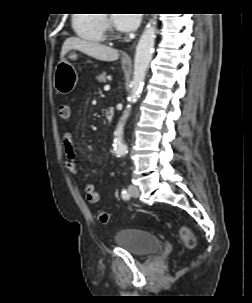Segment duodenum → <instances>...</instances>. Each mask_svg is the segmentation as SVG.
<instances>
[{"label": "duodenum", "mask_w": 252, "mask_h": 303, "mask_svg": "<svg viewBox=\"0 0 252 303\" xmlns=\"http://www.w3.org/2000/svg\"><path fill=\"white\" fill-rule=\"evenodd\" d=\"M114 117V109L112 107H108L105 112L106 123H109Z\"/></svg>", "instance_id": "obj_1"}]
</instances>
